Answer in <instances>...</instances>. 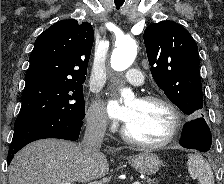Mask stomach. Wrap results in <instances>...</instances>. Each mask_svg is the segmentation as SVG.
<instances>
[{"label":"stomach","mask_w":224,"mask_h":184,"mask_svg":"<svg viewBox=\"0 0 224 184\" xmlns=\"http://www.w3.org/2000/svg\"><path fill=\"white\" fill-rule=\"evenodd\" d=\"M131 166L141 174L153 175L159 171L162 161L153 153L143 152L129 157Z\"/></svg>","instance_id":"obj_1"}]
</instances>
